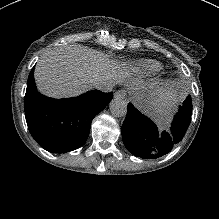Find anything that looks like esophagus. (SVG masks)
I'll return each mask as SVG.
<instances>
[{
  "label": "esophagus",
  "instance_id": "obj_1",
  "mask_svg": "<svg viewBox=\"0 0 219 219\" xmlns=\"http://www.w3.org/2000/svg\"><path fill=\"white\" fill-rule=\"evenodd\" d=\"M126 91L125 90H118L115 94H114V99H124L126 96Z\"/></svg>",
  "mask_w": 219,
  "mask_h": 219
}]
</instances>
